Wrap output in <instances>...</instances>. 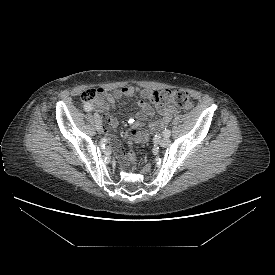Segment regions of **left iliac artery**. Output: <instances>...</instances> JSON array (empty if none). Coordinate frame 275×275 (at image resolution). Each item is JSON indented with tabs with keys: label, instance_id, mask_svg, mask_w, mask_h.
I'll return each mask as SVG.
<instances>
[{
	"label": "left iliac artery",
	"instance_id": "obj_1",
	"mask_svg": "<svg viewBox=\"0 0 275 275\" xmlns=\"http://www.w3.org/2000/svg\"><path fill=\"white\" fill-rule=\"evenodd\" d=\"M163 135H164L165 137H170L171 131L168 130V129H165V130L163 131Z\"/></svg>",
	"mask_w": 275,
	"mask_h": 275
}]
</instances>
